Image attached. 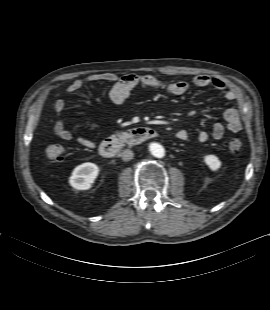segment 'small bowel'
I'll use <instances>...</instances> for the list:
<instances>
[{"label":"small bowel","mask_w":270,"mask_h":310,"mask_svg":"<svg viewBox=\"0 0 270 310\" xmlns=\"http://www.w3.org/2000/svg\"><path fill=\"white\" fill-rule=\"evenodd\" d=\"M89 82L113 83L110 90V99L116 104L123 103L129 97L132 90L139 85H144L154 89H162L173 95L185 94L192 86L204 88L211 85L217 90H225L224 97L228 101H235L240 97L238 90L229 88L223 80L204 74L196 76L191 82L186 80L164 82L151 75L127 74L124 76H118L110 72L98 73L92 74L86 78L74 80L67 87L66 93L72 94L77 92ZM65 106V100L58 99L53 104V110L55 113L59 114L65 109ZM224 118L226 121V127L221 123H215L212 127L211 135L214 139H221L224 136L226 128L232 133H238L242 130L240 113L236 108L227 109L224 113ZM53 130L54 133L64 141H70L73 139L72 132L65 127L63 121L60 119L55 121ZM176 137L181 141H186L190 138V135L186 130H179L176 133ZM196 137L199 142H205L209 138V133L205 130H199ZM77 142L79 145L87 149H93L96 147V144L93 141L84 137L77 138Z\"/></svg>","instance_id":"small-bowel-1"}]
</instances>
